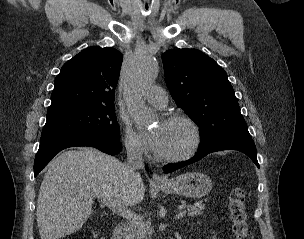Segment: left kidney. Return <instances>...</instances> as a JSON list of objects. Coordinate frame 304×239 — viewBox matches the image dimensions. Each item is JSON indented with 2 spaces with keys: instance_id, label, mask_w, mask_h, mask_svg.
Returning <instances> with one entry per match:
<instances>
[{
  "instance_id": "1",
  "label": "left kidney",
  "mask_w": 304,
  "mask_h": 239,
  "mask_svg": "<svg viewBox=\"0 0 304 239\" xmlns=\"http://www.w3.org/2000/svg\"><path fill=\"white\" fill-rule=\"evenodd\" d=\"M213 239H216V235L213 236Z\"/></svg>"
}]
</instances>
